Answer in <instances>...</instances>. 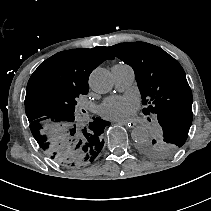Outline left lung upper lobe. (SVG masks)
<instances>
[{
	"instance_id": "1",
	"label": "left lung upper lobe",
	"mask_w": 211,
	"mask_h": 211,
	"mask_svg": "<svg viewBox=\"0 0 211 211\" xmlns=\"http://www.w3.org/2000/svg\"><path fill=\"white\" fill-rule=\"evenodd\" d=\"M108 49L133 68L143 113L160 129L156 139L141 145L142 152L152 157L174 154L186 142L193 118V97L183 68L152 44L120 43Z\"/></svg>"
}]
</instances>
